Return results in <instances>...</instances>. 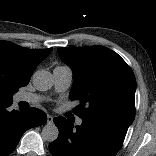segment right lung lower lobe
<instances>
[{
    "mask_svg": "<svg viewBox=\"0 0 156 156\" xmlns=\"http://www.w3.org/2000/svg\"><path fill=\"white\" fill-rule=\"evenodd\" d=\"M11 104L12 102L0 104V156L9 155L26 130L47 121L45 113L37 108L10 112L8 107Z\"/></svg>",
    "mask_w": 156,
    "mask_h": 156,
    "instance_id": "98d812e1",
    "label": "right lung lower lobe"
}]
</instances>
